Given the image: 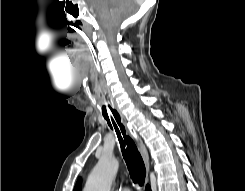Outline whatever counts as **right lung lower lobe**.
<instances>
[{
  "instance_id": "1",
  "label": "right lung lower lobe",
  "mask_w": 245,
  "mask_h": 191,
  "mask_svg": "<svg viewBox=\"0 0 245 191\" xmlns=\"http://www.w3.org/2000/svg\"><path fill=\"white\" fill-rule=\"evenodd\" d=\"M145 191H151L150 186L147 185Z\"/></svg>"
}]
</instances>
